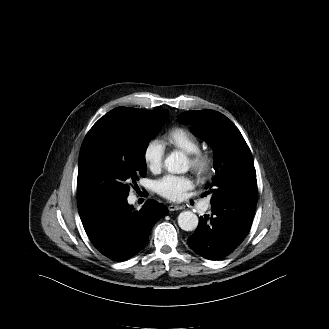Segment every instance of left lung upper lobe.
Segmentation results:
<instances>
[{
  "label": "left lung upper lobe",
  "mask_w": 329,
  "mask_h": 329,
  "mask_svg": "<svg viewBox=\"0 0 329 329\" xmlns=\"http://www.w3.org/2000/svg\"><path fill=\"white\" fill-rule=\"evenodd\" d=\"M178 121L192 125L193 133L214 148L215 176L204 195L212 194L211 200L228 199L255 170L242 134L226 116L214 110L186 111L178 116Z\"/></svg>",
  "instance_id": "left-lung-upper-lobe-1"
}]
</instances>
